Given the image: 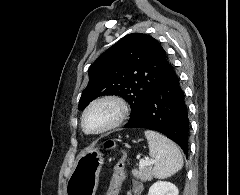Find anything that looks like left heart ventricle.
Wrapping results in <instances>:
<instances>
[{
  "label": "left heart ventricle",
  "instance_id": "left-heart-ventricle-1",
  "mask_svg": "<svg viewBox=\"0 0 240 195\" xmlns=\"http://www.w3.org/2000/svg\"><path fill=\"white\" fill-rule=\"evenodd\" d=\"M114 114V110L109 107H99L92 110L86 118V127L88 130H96L108 123Z\"/></svg>",
  "mask_w": 240,
  "mask_h": 195
}]
</instances>
